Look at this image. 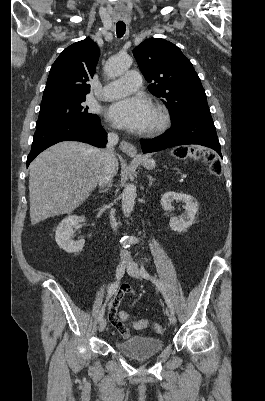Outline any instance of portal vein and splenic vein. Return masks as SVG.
I'll return each instance as SVG.
<instances>
[{
  "label": "portal vein and splenic vein",
  "mask_w": 265,
  "mask_h": 401,
  "mask_svg": "<svg viewBox=\"0 0 265 401\" xmlns=\"http://www.w3.org/2000/svg\"><path fill=\"white\" fill-rule=\"evenodd\" d=\"M181 178H182V179H186V178H187V175H186V174H182V175H181Z\"/></svg>",
  "instance_id": "18ae733b"
}]
</instances>
